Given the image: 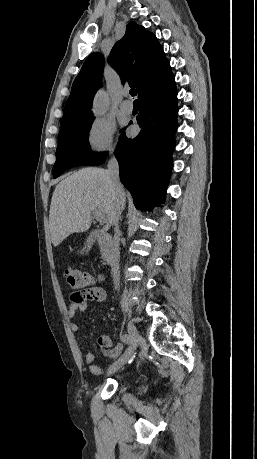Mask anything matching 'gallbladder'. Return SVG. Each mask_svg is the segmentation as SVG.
I'll return each mask as SVG.
<instances>
[{"label": "gallbladder", "mask_w": 257, "mask_h": 459, "mask_svg": "<svg viewBox=\"0 0 257 459\" xmlns=\"http://www.w3.org/2000/svg\"><path fill=\"white\" fill-rule=\"evenodd\" d=\"M93 242H94V237L93 236H89L85 242V246L82 248V250L80 251L81 254H84V253H88L89 250L91 249L92 245H93Z\"/></svg>", "instance_id": "gallbladder-1"}]
</instances>
